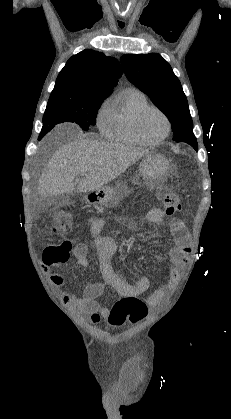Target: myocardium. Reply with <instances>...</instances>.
<instances>
[{
  "mask_svg": "<svg viewBox=\"0 0 231 419\" xmlns=\"http://www.w3.org/2000/svg\"><path fill=\"white\" fill-rule=\"evenodd\" d=\"M152 110L157 111L158 113H160L162 115V117L164 118V120L166 122V125H167V130H166L165 134L162 137H160L158 139H154V140L149 139L148 137H146V135L143 133V130H142V120H143L144 116L149 111H152ZM171 127H172V125H171V121H170L168 115L161 108H159L157 106H154V105H148V106L142 108L137 113V115L135 116V120H134V129H135V132H136L137 136L139 137V139L142 142H144L145 144H148V145H157V144L163 142L169 136V134L171 132Z\"/></svg>",
  "mask_w": 231,
  "mask_h": 419,
  "instance_id": "obj_1",
  "label": "myocardium"
}]
</instances>
